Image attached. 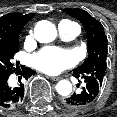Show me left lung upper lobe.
I'll list each match as a JSON object with an SVG mask.
<instances>
[{
	"label": "left lung upper lobe",
	"mask_w": 117,
	"mask_h": 117,
	"mask_svg": "<svg viewBox=\"0 0 117 117\" xmlns=\"http://www.w3.org/2000/svg\"><path fill=\"white\" fill-rule=\"evenodd\" d=\"M70 16L78 19L84 26L88 41V58L73 72L81 76L94 77L102 86L107 63V37L103 26L94 19L88 12L78 8L64 9Z\"/></svg>",
	"instance_id": "obj_1"
}]
</instances>
